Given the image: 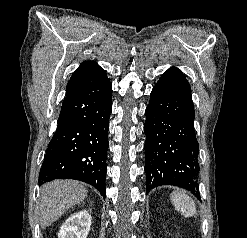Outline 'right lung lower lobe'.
Returning <instances> with one entry per match:
<instances>
[{
	"mask_svg": "<svg viewBox=\"0 0 247 238\" xmlns=\"http://www.w3.org/2000/svg\"><path fill=\"white\" fill-rule=\"evenodd\" d=\"M112 85L99 67L66 94L39 176L43 184L75 179L105 198Z\"/></svg>",
	"mask_w": 247,
	"mask_h": 238,
	"instance_id": "98d812e1",
	"label": "right lung lower lobe"
}]
</instances>
